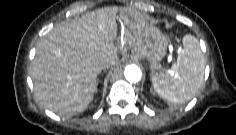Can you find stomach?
I'll return each mask as SVG.
<instances>
[{
	"instance_id": "0dacf381",
	"label": "stomach",
	"mask_w": 236,
	"mask_h": 135,
	"mask_svg": "<svg viewBox=\"0 0 236 135\" xmlns=\"http://www.w3.org/2000/svg\"><path fill=\"white\" fill-rule=\"evenodd\" d=\"M133 11H121L120 19L124 22L133 21ZM168 48V39L155 27L148 26L140 35V43L136 50L132 51L133 59H143L149 62L151 75L154 77L161 70V61L165 57Z\"/></svg>"
}]
</instances>
